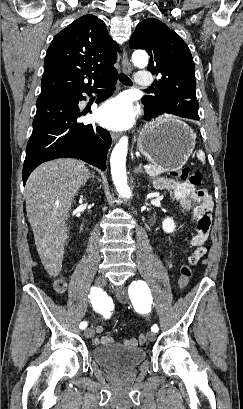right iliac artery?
I'll return each instance as SVG.
<instances>
[{
	"label": "right iliac artery",
	"mask_w": 243,
	"mask_h": 409,
	"mask_svg": "<svg viewBox=\"0 0 243 409\" xmlns=\"http://www.w3.org/2000/svg\"><path fill=\"white\" fill-rule=\"evenodd\" d=\"M91 303L96 311L102 313L104 311L103 295H101V290L99 288L93 287L91 289L90 295L88 296ZM87 322L83 321L80 323V329H85L87 327Z\"/></svg>",
	"instance_id": "82829eb1"
}]
</instances>
